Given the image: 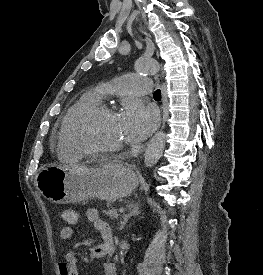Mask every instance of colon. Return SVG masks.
Wrapping results in <instances>:
<instances>
[{
    "label": "colon",
    "mask_w": 263,
    "mask_h": 275,
    "mask_svg": "<svg viewBox=\"0 0 263 275\" xmlns=\"http://www.w3.org/2000/svg\"><path fill=\"white\" fill-rule=\"evenodd\" d=\"M62 217L68 225H76L78 222V213L73 209L64 210Z\"/></svg>",
    "instance_id": "obj_1"
}]
</instances>
